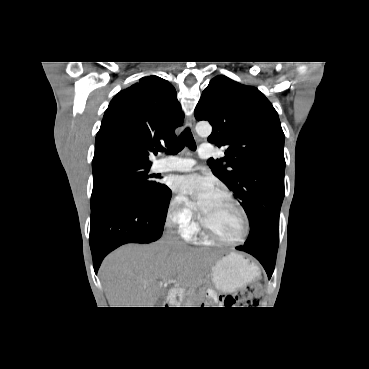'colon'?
I'll return each instance as SVG.
<instances>
[{
    "label": "colon",
    "instance_id": "1",
    "mask_svg": "<svg viewBox=\"0 0 369 369\" xmlns=\"http://www.w3.org/2000/svg\"><path fill=\"white\" fill-rule=\"evenodd\" d=\"M263 291V284L261 282L251 285L235 296H217L211 294L213 301H218L224 307H255L258 306Z\"/></svg>",
    "mask_w": 369,
    "mask_h": 369
}]
</instances>
